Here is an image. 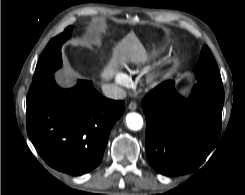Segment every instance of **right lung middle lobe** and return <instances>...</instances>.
Here are the masks:
<instances>
[{
  "label": "right lung middle lobe",
  "instance_id": "1",
  "mask_svg": "<svg viewBox=\"0 0 245 195\" xmlns=\"http://www.w3.org/2000/svg\"><path fill=\"white\" fill-rule=\"evenodd\" d=\"M72 27H68L64 32L53 38L46 46L42 56L40 57L33 82H38L48 76H52L54 71L60 68L62 64L61 46L70 37Z\"/></svg>",
  "mask_w": 245,
  "mask_h": 195
}]
</instances>
